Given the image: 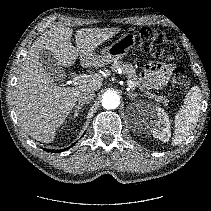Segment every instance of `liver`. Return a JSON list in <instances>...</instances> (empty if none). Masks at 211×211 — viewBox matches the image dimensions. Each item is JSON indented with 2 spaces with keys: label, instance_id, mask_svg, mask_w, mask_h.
<instances>
[{
  "label": "liver",
  "instance_id": "6515ba94",
  "mask_svg": "<svg viewBox=\"0 0 211 211\" xmlns=\"http://www.w3.org/2000/svg\"><path fill=\"white\" fill-rule=\"evenodd\" d=\"M118 31L117 28L79 29L75 33L74 47L71 43L73 29L53 27L34 41L22 63L12 93L18 120L32 138L43 143L52 142L57 129L63 125L76 104L79 92L84 89L97 91L103 82L99 74H93L72 87L58 85L40 62V51H50L64 67L74 65L78 53L82 66H102L104 63L94 51Z\"/></svg>",
  "mask_w": 211,
  "mask_h": 211
}]
</instances>
